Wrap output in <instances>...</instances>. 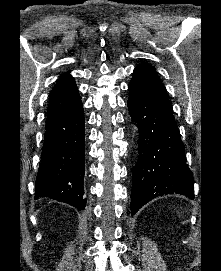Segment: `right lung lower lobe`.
I'll list each match as a JSON object with an SVG mask.
<instances>
[{
    "label": "right lung lower lobe",
    "instance_id": "obj_1",
    "mask_svg": "<svg viewBox=\"0 0 221 271\" xmlns=\"http://www.w3.org/2000/svg\"><path fill=\"white\" fill-rule=\"evenodd\" d=\"M85 120L81 100L46 119L35 199L49 197L83 209Z\"/></svg>",
    "mask_w": 221,
    "mask_h": 271
}]
</instances>
